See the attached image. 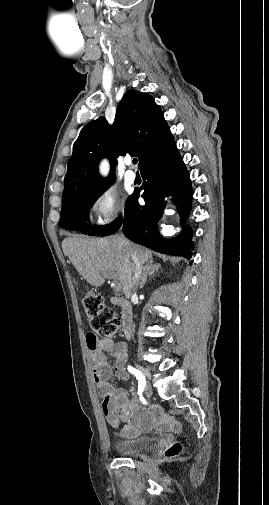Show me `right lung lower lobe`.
Wrapping results in <instances>:
<instances>
[{
	"mask_svg": "<svg viewBox=\"0 0 269 505\" xmlns=\"http://www.w3.org/2000/svg\"><path fill=\"white\" fill-rule=\"evenodd\" d=\"M140 171L144 180L142 189L145 190L141 196L145 205H139V192H134L125 206L123 233L133 242L157 252L192 258V229L183 230L174 239H165L156 230L163 216L166 196H173L182 217L191 208V181L175 142L148 160ZM121 224L122 221L119 228Z\"/></svg>",
	"mask_w": 269,
	"mask_h": 505,
	"instance_id": "1",
	"label": "right lung lower lobe"
}]
</instances>
